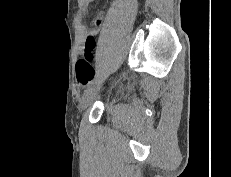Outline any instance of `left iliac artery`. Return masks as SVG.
<instances>
[{
  "mask_svg": "<svg viewBox=\"0 0 231 177\" xmlns=\"http://www.w3.org/2000/svg\"><path fill=\"white\" fill-rule=\"evenodd\" d=\"M97 77L87 86V89L90 88L94 83L97 82Z\"/></svg>",
  "mask_w": 231,
  "mask_h": 177,
  "instance_id": "obj_1",
  "label": "left iliac artery"
}]
</instances>
